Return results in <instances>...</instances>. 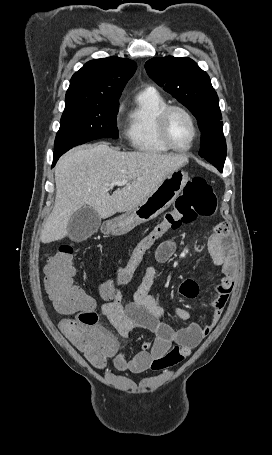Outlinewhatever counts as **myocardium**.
<instances>
[{
    "mask_svg": "<svg viewBox=\"0 0 272 455\" xmlns=\"http://www.w3.org/2000/svg\"><path fill=\"white\" fill-rule=\"evenodd\" d=\"M173 111H180L182 112L190 121L192 130H193V136L190 141V143L186 147H178L176 146L172 140L170 139L169 132H168V119L170 114ZM157 129H158V134L162 142L170 149L176 152H187L189 151L195 144L198 135H199V129L197 122L193 116V114L185 107L181 105H176V104H167L162 110L159 112L157 116Z\"/></svg>",
    "mask_w": 272,
    "mask_h": 455,
    "instance_id": "obj_1",
    "label": "myocardium"
}]
</instances>
